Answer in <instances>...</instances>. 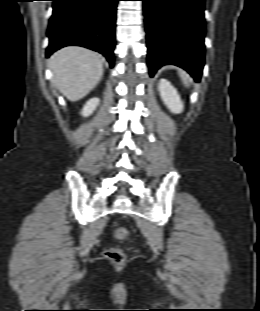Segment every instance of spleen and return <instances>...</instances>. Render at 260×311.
Segmentation results:
<instances>
[{"instance_id":"spleen-1","label":"spleen","mask_w":260,"mask_h":311,"mask_svg":"<svg viewBox=\"0 0 260 311\" xmlns=\"http://www.w3.org/2000/svg\"><path fill=\"white\" fill-rule=\"evenodd\" d=\"M179 75L184 83L185 86H189L191 82V77L183 70H179Z\"/></svg>"}]
</instances>
